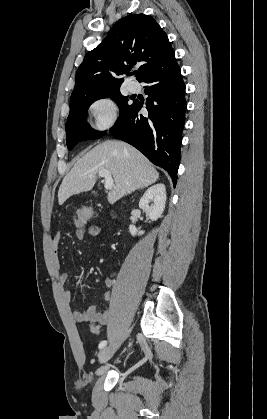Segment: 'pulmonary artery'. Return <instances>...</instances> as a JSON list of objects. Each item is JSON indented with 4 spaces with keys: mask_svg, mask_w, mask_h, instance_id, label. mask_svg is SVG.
Listing matches in <instances>:
<instances>
[{
    "mask_svg": "<svg viewBox=\"0 0 267 419\" xmlns=\"http://www.w3.org/2000/svg\"><path fill=\"white\" fill-rule=\"evenodd\" d=\"M128 88L133 93H136L139 90V86L135 82L129 83Z\"/></svg>",
    "mask_w": 267,
    "mask_h": 419,
    "instance_id": "1",
    "label": "pulmonary artery"
}]
</instances>
